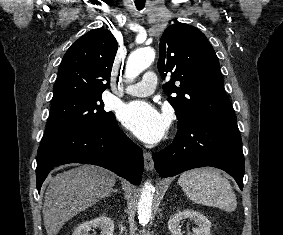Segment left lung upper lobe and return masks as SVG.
Here are the masks:
<instances>
[{
    "instance_id": "5c2ea615",
    "label": "left lung upper lobe",
    "mask_w": 283,
    "mask_h": 235,
    "mask_svg": "<svg viewBox=\"0 0 283 235\" xmlns=\"http://www.w3.org/2000/svg\"><path fill=\"white\" fill-rule=\"evenodd\" d=\"M158 70L163 78L171 74L163 91L175 109L178 129L235 115L216 53L197 28L179 22L167 27L160 39Z\"/></svg>"
}]
</instances>
